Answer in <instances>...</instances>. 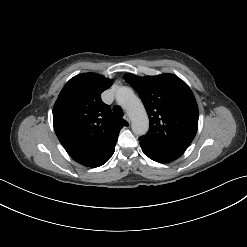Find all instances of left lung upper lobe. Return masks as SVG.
I'll list each match as a JSON object with an SVG mask.
<instances>
[{
    "label": "left lung upper lobe",
    "instance_id": "left-lung-upper-lobe-1",
    "mask_svg": "<svg viewBox=\"0 0 247 247\" xmlns=\"http://www.w3.org/2000/svg\"><path fill=\"white\" fill-rule=\"evenodd\" d=\"M124 79L138 93L147 111L150 130L142 139L166 149L185 151L198 128V107L188 85L173 74Z\"/></svg>",
    "mask_w": 247,
    "mask_h": 247
}]
</instances>
